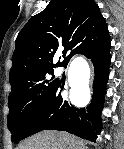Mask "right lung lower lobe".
<instances>
[{
  "mask_svg": "<svg viewBox=\"0 0 124 149\" xmlns=\"http://www.w3.org/2000/svg\"><path fill=\"white\" fill-rule=\"evenodd\" d=\"M109 38L84 55L94 66L93 97L86 108H76L63 95L60 83L45 100L24 129L21 140L42 130H59L96 142L102 129L103 109L108 68L111 61Z\"/></svg>",
  "mask_w": 124,
  "mask_h": 149,
  "instance_id": "98d812e1",
  "label": "right lung lower lobe"
}]
</instances>
